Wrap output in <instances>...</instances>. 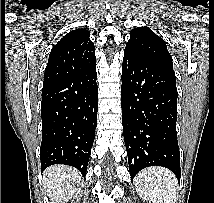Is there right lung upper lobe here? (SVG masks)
Returning a JSON list of instances; mask_svg holds the SVG:
<instances>
[{
  "label": "right lung upper lobe",
  "mask_w": 214,
  "mask_h": 203,
  "mask_svg": "<svg viewBox=\"0 0 214 203\" xmlns=\"http://www.w3.org/2000/svg\"><path fill=\"white\" fill-rule=\"evenodd\" d=\"M86 29H76L52 48L44 73L43 88L76 76L96 65L95 47Z\"/></svg>",
  "instance_id": "cb5924a9"
}]
</instances>
